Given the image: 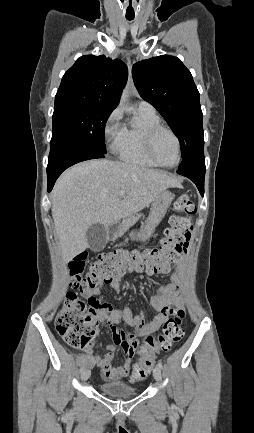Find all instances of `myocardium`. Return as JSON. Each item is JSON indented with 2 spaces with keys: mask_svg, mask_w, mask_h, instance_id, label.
<instances>
[{
  "mask_svg": "<svg viewBox=\"0 0 254 433\" xmlns=\"http://www.w3.org/2000/svg\"><path fill=\"white\" fill-rule=\"evenodd\" d=\"M161 131H165L168 132L176 141L177 144V152H178V156H177V160L174 164L172 165H165L163 163H161L158 158L155 155L154 152V141L155 138L157 136V134ZM144 146H145V151L148 155V157L152 160V162L154 164H156L159 167L162 168H167V169H172L177 167L182 159V147H181V142L179 137L177 136V134L169 127L162 125V124H156L153 125L151 127H149L146 132H145V136H144Z\"/></svg>",
  "mask_w": 254,
  "mask_h": 433,
  "instance_id": "myocardium-1",
  "label": "myocardium"
}]
</instances>
